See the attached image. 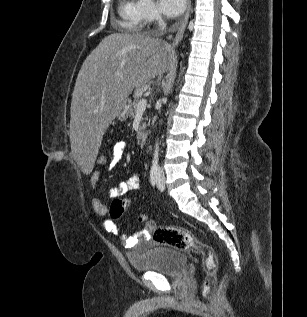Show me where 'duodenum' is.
I'll list each match as a JSON object with an SVG mask.
<instances>
[{
    "instance_id": "410a0bca",
    "label": "duodenum",
    "mask_w": 307,
    "mask_h": 317,
    "mask_svg": "<svg viewBox=\"0 0 307 317\" xmlns=\"http://www.w3.org/2000/svg\"><path fill=\"white\" fill-rule=\"evenodd\" d=\"M138 140L140 142V144L144 145L147 141V135L146 134H140L138 136Z\"/></svg>"
}]
</instances>
